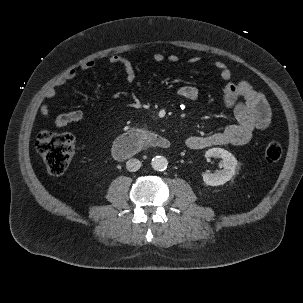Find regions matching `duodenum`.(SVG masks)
I'll return each instance as SVG.
<instances>
[{
	"label": "duodenum",
	"mask_w": 303,
	"mask_h": 303,
	"mask_svg": "<svg viewBox=\"0 0 303 303\" xmlns=\"http://www.w3.org/2000/svg\"><path fill=\"white\" fill-rule=\"evenodd\" d=\"M146 146L165 150L171 147V143L166 137L153 131L135 129L115 140L112 155L119 160L128 159Z\"/></svg>",
	"instance_id": "410a0bca"
}]
</instances>
